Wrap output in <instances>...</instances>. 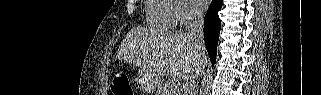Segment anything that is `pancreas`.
<instances>
[{"mask_svg":"<svg viewBox=\"0 0 321 95\" xmlns=\"http://www.w3.org/2000/svg\"><path fill=\"white\" fill-rule=\"evenodd\" d=\"M157 94L158 95H178L179 87L172 88L169 82L162 83L158 86Z\"/></svg>","mask_w":321,"mask_h":95,"instance_id":"obj_1","label":"pancreas"}]
</instances>
